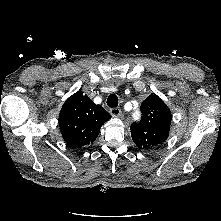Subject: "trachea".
Here are the masks:
<instances>
[{
  "label": "trachea",
  "instance_id": "3493384b",
  "mask_svg": "<svg viewBox=\"0 0 221 221\" xmlns=\"http://www.w3.org/2000/svg\"><path fill=\"white\" fill-rule=\"evenodd\" d=\"M107 105L111 108L118 106V97L115 94H110L107 99Z\"/></svg>",
  "mask_w": 221,
  "mask_h": 221
}]
</instances>
